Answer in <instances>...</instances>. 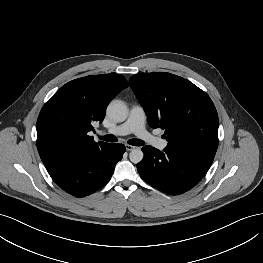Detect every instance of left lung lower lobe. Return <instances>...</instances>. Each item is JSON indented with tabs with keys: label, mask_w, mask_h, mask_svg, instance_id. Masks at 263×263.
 <instances>
[{
	"label": "left lung lower lobe",
	"mask_w": 263,
	"mask_h": 263,
	"mask_svg": "<svg viewBox=\"0 0 263 263\" xmlns=\"http://www.w3.org/2000/svg\"><path fill=\"white\" fill-rule=\"evenodd\" d=\"M137 165L141 178L158 190L178 195L192 188L211 166L214 157L167 145L163 152L152 146L142 148Z\"/></svg>",
	"instance_id": "1"
}]
</instances>
